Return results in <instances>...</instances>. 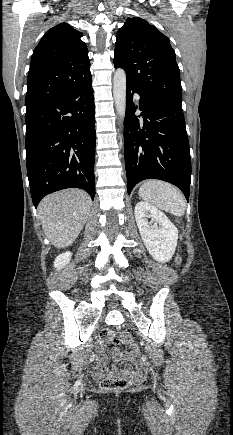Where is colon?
Listing matches in <instances>:
<instances>
[{
    "label": "colon",
    "instance_id": "obj_1",
    "mask_svg": "<svg viewBox=\"0 0 233 435\" xmlns=\"http://www.w3.org/2000/svg\"><path fill=\"white\" fill-rule=\"evenodd\" d=\"M177 263H181V258H177ZM100 338L105 341H112L114 344H125L128 347H132L134 342L132 336L126 332H113L110 329H103L100 331ZM129 385V378L122 376L119 378H104L101 381V387L109 391L124 390Z\"/></svg>",
    "mask_w": 233,
    "mask_h": 435
}]
</instances>
